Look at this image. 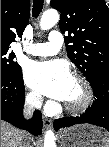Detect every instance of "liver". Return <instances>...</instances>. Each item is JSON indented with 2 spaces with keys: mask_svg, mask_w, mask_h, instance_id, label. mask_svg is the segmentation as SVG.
Here are the masks:
<instances>
[{
  "mask_svg": "<svg viewBox=\"0 0 109 147\" xmlns=\"http://www.w3.org/2000/svg\"><path fill=\"white\" fill-rule=\"evenodd\" d=\"M25 133L11 124L1 121V147H23Z\"/></svg>",
  "mask_w": 109,
  "mask_h": 147,
  "instance_id": "1",
  "label": "liver"
}]
</instances>
